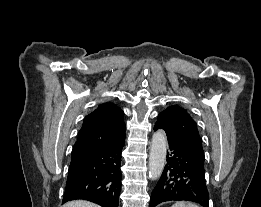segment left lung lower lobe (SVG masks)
<instances>
[{
    "label": "left lung lower lobe",
    "instance_id": "1",
    "mask_svg": "<svg viewBox=\"0 0 261 207\" xmlns=\"http://www.w3.org/2000/svg\"><path fill=\"white\" fill-rule=\"evenodd\" d=\"M165 129L155 124L154 130ZM166 132V131H165ZM169 144L167 165L154 188L149 207L172 200H187L209 207L204 162L195 158L166 132Z\"/></svg>",
    "mask_w": 261,
    "mask_h": 207
}]
</instances>
